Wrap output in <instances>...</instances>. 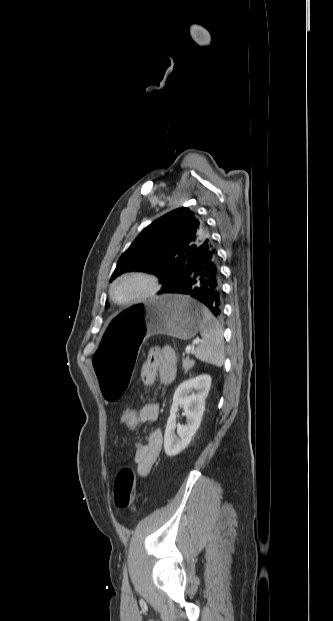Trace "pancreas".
<instances>
[{
    "label": "pancreas",
    "instance_id": "1",
    "mask_svg": "<svg viewBox=\"0 0 333 621\" xmlns=\"http://www.w3.org/2000/svg\"><path fill=\"white\" fill-rule=\"evenodd\" d=\"M194 364H195V361L193 359H190L189 357L182 359V365H183V369L185 372L190 370L194 366Z\"/></svg>",
    "mask_w": 333,
    "mask_h": 621
}]
</instances>
